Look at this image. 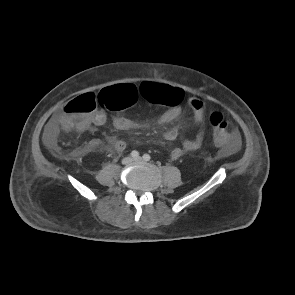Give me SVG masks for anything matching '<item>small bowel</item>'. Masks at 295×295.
Wrapping results in <instances>:
<instances>
[{"label": "small bowel", "instance_id": "1", "mask_svg": "<svg viewBox=\"0 0 295 295\" xmlns=\"http://www.w3.org/2000/svg\"><path fill=\"white\" fill-rule=\"evenodd\" d=\"M177 89V88H175ZM182 96L184 93L182 90L177 89ZM189 106L193 112V119L195 125L199 128L198 133L193 139L185 140L181 147H175L170 151V158L172 160H177L184 156L187 153L194 152L200 150L202 148L203 139H204V124L206 117V107L203 101L197 98H193L189 101ZM182 114V108L179 104L172 106L167 111H165L160 117L152 122H135L123 116H115L112 119V125L115 129L120 131H133V130H152L157 128H162L175 120H177ZM60 117V116H59ZM59 117L52 118L47 124L44 134L43 141L47 148L55 149L57 145V137L59 133ZM107 121V116L102 111H95L91 113L77 128L78 131L83 132L88 130L91 127H100L103 126ZM178 137V130L176 128H170L163 132V138L166 140H175ZM110 146L116 152H122L126 148V142L117 139L111 138ZM239 146V137L237 134V139L235 143L229 146V151H235ZM100 148H106V146L98 141L93 140L89 142L86 147L87 151L96 150Z\"/></svg>", "mask_w": 295, "mask_h": 295}]
</instances>
